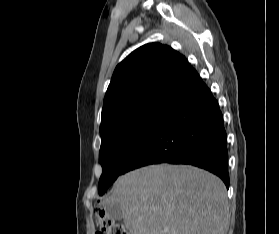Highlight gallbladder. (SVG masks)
Listing matches in <instances>:
<instances>
[{"label": "gallbladder", "instance_id": "gallbladder-1", "mask_svg": "<svg viewBox=\"0 0 279 234\" xmlns=\"http://www.w3.org/2000/svg\"><path fill=\"white\" fill-rule=\"evenodd\" d=\"M105 211L108 214V216L114 220L123 219V213L121 207L118 204L106 205Z\"/></svg>", "mask_w": 279, "mask_h": 234}]
</instances>
